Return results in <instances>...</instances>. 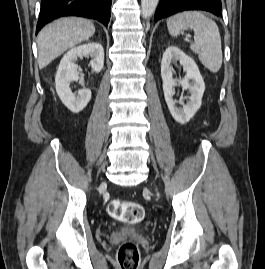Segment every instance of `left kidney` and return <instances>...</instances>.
I'll list each match as a JSON object with an SVG mask.
<instances>
[{"label": "left kidney", "instance_id": "1", "mask_svg": "<svg viewBox=\"0 0 265 269\" xmlns=\"http://www.w3.org/2000/svg\"><path fill=\"white\" fill-rule=\"evenodd\" d=\"M179 61L186 68L185 78L180 82L184 89L189 90L191 96L189 101L184 104L180 102L182 108L176 106L173 96L175 94L174 86L177 82L173 79L171 65ZM161 77L163 80V91L165 101L173 118L180 124H186L195 115L202 103V97L205 90V83L200 74L195 61L186 55L176 46H169L163 53L161 62Z\"/></svg>", "mask_w": 265, "mask_h": 269}]
</instances>
